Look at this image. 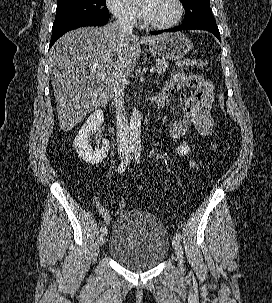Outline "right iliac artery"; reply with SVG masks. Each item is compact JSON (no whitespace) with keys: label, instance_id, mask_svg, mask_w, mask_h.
<instances>
[{"label":"right iliac artery","instance_id":"right-iliac-artery-1","mask_svg":"<svg viewBox=\"0 0 272 303\" xmlns=\"http://www.w3.org/2000/svg\"><path fill=\"white\" fill-rule=\"evenodd\" d=\"M134 149H135V145H134V144H131V145L129 146V148H128L127 156L125 157V159H124V160L119 164V166H118V169H117V170H118V173H119V174H123V173H124L126 167H127L128 164L130 163V160H131V158H132V153H133ZM100 230H101V232H102V231L106 230V227L103 225V226H101Z\"/></svg>","mask_w":272,"mask_h":303}]
</instances>
